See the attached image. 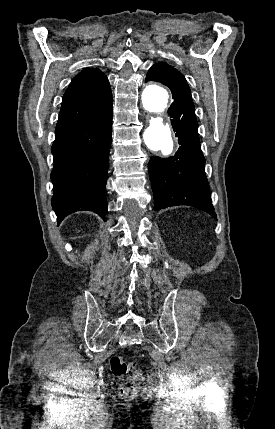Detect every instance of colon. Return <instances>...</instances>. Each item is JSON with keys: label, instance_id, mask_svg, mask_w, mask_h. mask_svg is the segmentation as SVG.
<instances>
[{"label": "colon", "instance_id": "obj_1", "mask_svg": "<svg viewBox=\"0 0 275 429\" xmlns=\"http://www.w3.org/2000/svg\"><path fill=\"white\" fill-rule=\"evenodd\" d=\"M111 372L118 377L125 378L130 372H134L135 379L142 378V373L135 368L133 363L127 362L121 356H113L110 360ZM137 392V384L134 381H126L120 388V394L124 398H133Z\"/></svg>", "mask_w": 275, "mask_h": 429}]
</instances>
